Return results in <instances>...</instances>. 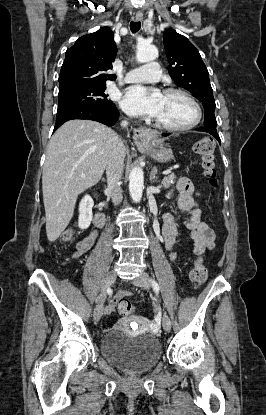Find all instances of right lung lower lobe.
<instances>
[{
	"instance_id": "1",
	"label": "right lung lower lobe",
	"mask_w": 266,
	"mask_h": 415,
	"mask_svg": "<svg viewBox=\"0 0 266 415\" xmlns=\"http://www.w3.org/2000/svg\"><path fill=\"white\" fill-rule=\"evenodd\" d=\"M119 118L116 107L101 109L87 106H63L58 107L54 131L63 123L73 119H88L98 121L107 126H113Z\"/></svg>"
}]
</instances>
